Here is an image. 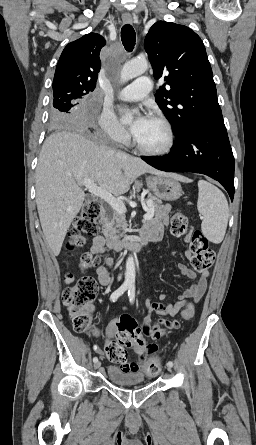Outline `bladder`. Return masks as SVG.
I'll list each match as a JSON object with an SVG mask.
<instances>
[{
    "mask_svg": "<svg viewBox=\"0 0 256 445\" xmlns=\"http://www.w3.org/2000/svg\"><path fill=\"white\" fill-rule=\"evenodd\" d=\"M108 377L112 383L117 385H142L145 383V377L142 373L115 367L108 369Z\"/></svg>",
    "mask_w": 256,
    "mask_h": 445,
    "instance_id": "bladder-1",
    "label": "bladder"
}]
</instances>
